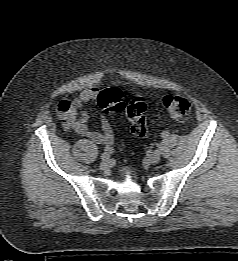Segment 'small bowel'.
I'll return each mask as SVG.
<instances>
[{"mask_svg": "<svg viewBox=\"0 0 238 261\" xmlns=\"http://www.w3.org/2000/svg\"><path fill=\"white\" fill-rule=\"evenodd\" d=\"M100 90L88 88L71 101L63 100L58 104V116L63 121V125L68 130L86 137L96 144L109 146L114 140L112 126L106 116L100 118L101 132L93 131L89 128L88 114L83 110V105L97 101Z\"/></svg>", "mask_w": 238, "mask_h": 261, "instance_id": "obj_1", "label": "small bowel"}]
</instances>
